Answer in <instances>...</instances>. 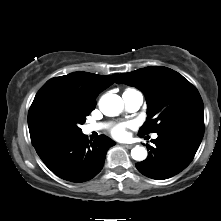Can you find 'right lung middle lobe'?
Wrapping results in <instances>:
<instances>
[{"mask_svg":"<svg viewBox=\"0 0 221 221\" xmlns=\"http://www.w3.org/2000/svg\"><path fill=\"white\" fill-rule=\"evenodd\" d=\"M90 112L63 98H45L29 110L30 137L80 134V125L85 123Z\"/></svg>","mask_w":221,"mask_h":221,"instance_id":"1","label":"right lung middle lobe"}]
</instances>
